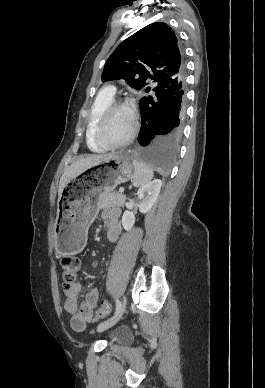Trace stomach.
<instances>
[{
    "mask_svg": "<svg viewBox=\"0 0 265 388\" xmlns=\"http://www.w3.org/2000/svg\"><path fill=\"white\" fill-rule=\"evenodd\" d=\"M133 164L121 153L111 154L71 178L62 191L54 224L55 249L60 255L80 253L87 230L99 211V195L113 191L133 176Z\"/></svg>",
    "mask_w": 265,
    "mask_h": 388,
    "instance_id": "0dacf381",
    "label": "stomach"
}]
</instances>
